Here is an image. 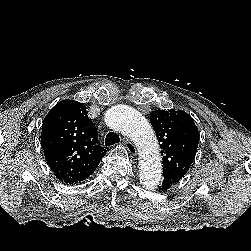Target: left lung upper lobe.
<instances>
[{
    "label": "left lung upper lobe",
    "mask_w": 251,
    "mask_h": 251,
    "mask_svg": "<svg viewBox=\"0 0 251 251\" xmlns=\"http://www.w3.org/2000/svg\"><path fill=\"white\" fill-rule=\"evenodd\" d=\"M163 156V183L170 188L187 173L196 155L199 132L182 110H155L150 114Z\"/></svg>",
    "instance_id": "1"
}]
</instances>
